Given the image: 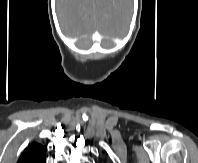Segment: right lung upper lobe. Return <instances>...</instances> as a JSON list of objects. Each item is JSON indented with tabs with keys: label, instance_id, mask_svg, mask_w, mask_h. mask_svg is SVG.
<instances>
[{
	"label": "right lung upper lobe",
	"instance_id": "obj_1",
	"mask_svg": "<svg viewBox=\"0 0 198 163\" xmlns=\"http://www.w3.org/2000/svg\"><path fill=\"white\" fill-rule=\"evenodd\" d=\"M45 153V146L33 142L23 151L17 163H45Z\"/></svg>",
	"mask_w": 198,
	"mask_h": 163
}]
</instances>
